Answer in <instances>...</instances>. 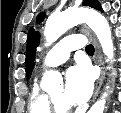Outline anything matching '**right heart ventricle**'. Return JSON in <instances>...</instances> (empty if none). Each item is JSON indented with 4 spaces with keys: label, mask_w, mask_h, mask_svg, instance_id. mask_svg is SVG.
<instances>
[{
    "label": "right heart ventricle",
    "mask_w": 121,
    "mask_h": 113,
    "mask_svg": "<svg viewBox=\"0 0 121 113\" xmlns=\"http://www.w3.org/2000/svg\"><path fill=\"white\" fill-rule=\"evenodd\" d=\"M29 113H51L48 96L38 85L34 83L29 97Z\"/></svg>",
    "instance_id": "right-heart-ventricle-1"
}]
</instances>
